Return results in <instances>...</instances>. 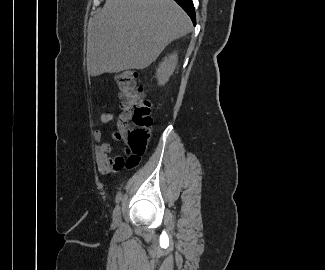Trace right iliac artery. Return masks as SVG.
Instances as JSON below:
<instances>
[{"instance_id":"1","label":"right iliac artery","mask_w":325,"mask_h":270,"mask_svg":"<svg viewBox=\"0 0 325 270\" xmlns=\"http://www.w3.org/2000/svg\"><path fill=\"white\" fill-rule=\"evenodd\" d=\"M122 199V193H118L115 198V202L118 204Z\"/></svg>"}]
</instances>
